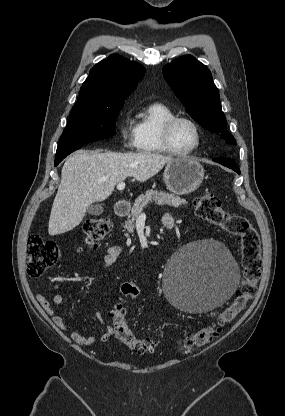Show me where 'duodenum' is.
<instances>
[{
	"instance_id": "duodenum-1",
	"label": "duodenum",
	"mask_w": 285,
	"mask_h": 416,
	"mask_svg": "<svg viewBox=\"0 0 285 416\" xmlns=\"http://www.w3.org/2000/svg\"><path fill=\"white\" fill-rule=\"evenodd\" d=\"M131 199L130 197H118L114 210L117 216H125L130 211ZM163 223L166 227H172L173 221L171 218H165Z\"/></svg>"
}]
</instances>
